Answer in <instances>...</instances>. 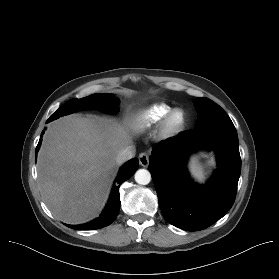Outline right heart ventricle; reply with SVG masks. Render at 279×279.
I'll return each mask as SVG.
<instances>
[{
	"instance_id": "obj_1",
	"label": "right heart ventricle",
	"mask_w": 279,
	"mask_h": 279,
	"mask_svg": "<svg viewBox=\"0 0 279 279\" xmlns=\"http://www.w3.org/2000/svg\"><path fill=\"white\" fill-rule=\"evenodd\" d=\"M171 110V107L167 104L160 103L151 105L149 108L143 111L138 117V123L142 127H151L154 124L163 120L164 116Z\"/></svg>"
}]
</instances>
